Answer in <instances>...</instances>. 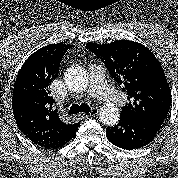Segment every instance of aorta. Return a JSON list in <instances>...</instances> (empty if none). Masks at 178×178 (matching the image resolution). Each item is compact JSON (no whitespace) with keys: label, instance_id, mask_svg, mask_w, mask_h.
<instances>
[{"label":"aorta","instance_id":"aorta-1","mask_svg":"<svg viewBox=\"0 0 178 178\" xmlns=\"http://www.w3.org/2000/svg\"><path fill=\"white\" fill-rule=\"evenodd\" d=\"M65 81L69 89L74 92L85 91L89 83L88 75L82 67L70 68L65 75ZM99 115L101 122L105 125L113 126L119 121V111L113 105L102 106Z\"/></svg>","mask_w":178,"mask_h":178}]
</instances>
